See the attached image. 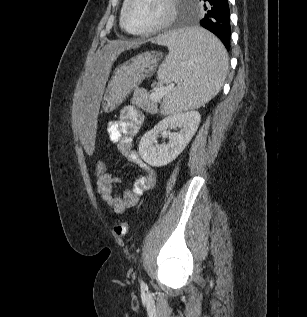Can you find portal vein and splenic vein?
<instances>
[{"label": "portal vein and splenic vein", "instance_id": "obj_1", "mask_svg": "<svg viewBox=\"0 0 307 317\" xmlns=\"http://www.w3.org/2000/svg\"><path fill=\"white\" fill-rule=\"evenodd\" d=\"M173 88V85L167 86L161 91H154L151 93L150 98L153 101H159L169 90Z\"/></svg>", "mask_w": 307, "mask_h": 317}]
</instances>
